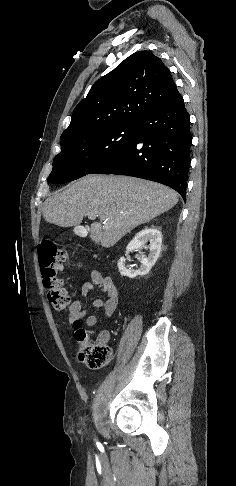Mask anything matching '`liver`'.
<instances>
[{"instance_id": "1", "label": "liver", "mask_w": 236, "mask_h": 486, "mask_svg": "<svg viewBox=\"0 0 236 486\" xmlns=\"http://www.w3.org/2000/svg\"><path fill=\"white\" fill-rule=\"evenodd\" d=\"M178 194L152 181L114 175H87L49 197L44 219L60 227L79 225L87 213L101 222L90 227V238L109 248L137 226L173 208Z\"/></svg>"}]
</instances>
